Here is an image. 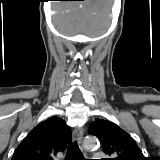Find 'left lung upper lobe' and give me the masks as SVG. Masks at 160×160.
Segmentation results:
<instances>
[{"mask_svg":"<svg viewBox=\"0 0 160 160\" xmlns=\"http://www.w3.org/2000/svg\"><path fill=\"white\" fill-rule=\"evenodd\" d=\"M89 133L98 137L104 153L113 157L105 160H146L132 137L113 122L97 119Z\"/></svg>","mask_w":160,"mask_h":160,"instance_id":"1","label":"left lung upper lobe"}]
</instances>
